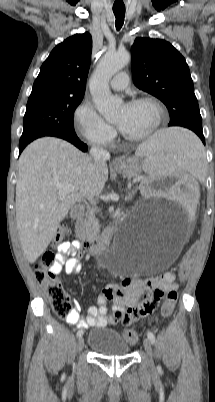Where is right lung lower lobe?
Wrapping results in <instances>:
<instances>
[{
	"mask_svg": "<svg viewBox=\"0 0 215 402\" xmlns=\"http://www.w3.org/2000/svg\"><path fill=\"white\" fill-rule=\"evenodd\" d=\"M59 138H63L69 142H71L72 144H74L77 148H79L80 150L86 152L87 151V145L84 144L83 142H81L79 140V138L76 136V134H68V135H62ZM26 145H19V153L22 152V150L25 148Z\"/></svg>",
	"mask_w": 215,
	"mask_h": 402,
	"instance_id": "obj_1",
	"label": "right lung lower lobe"
}]
</instances>
